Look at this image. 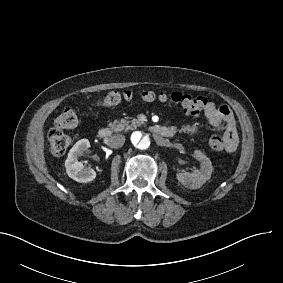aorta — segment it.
Wrapping results in <instances>:
<instances>
[{
  "label": "aorta",
  "mask_w": 283,
  "mask_h": 283,
  "mask_svg": "<svg viewBox=\"0 0 283 283\" xmlns=\"http://www.w3.org/2000/svg\"><path fill=\"white\" fill-rule=\"evenodd\" d=\"M131 144L138 150H147L151 145V139L148 134L135 131L131 134Z\"/></svg>",
  "instance_id": "1"
}]
</instances>
